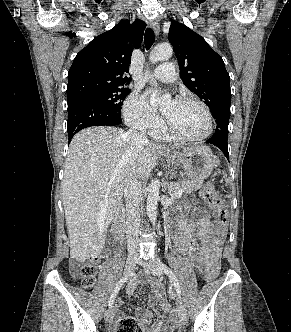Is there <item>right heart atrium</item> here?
<instances>
[{
  "label": "right heart atrium",
  "instance_id": "d8ad5b80",
  "mask_svg": "<svg viewBox=\"0 0 291 332\" xmlns=\"http://www.w3.org/2000/svg\"><path fill=\"white\" fill-rule=\"evenodd\" d=\"M123 116L129 127L144 133L151 134L161 127L160 118L137 92L132 93L125 101Z\"/></svg>",
  "mask_w": 291,
  "mask_h": 332
}]
</instances>
